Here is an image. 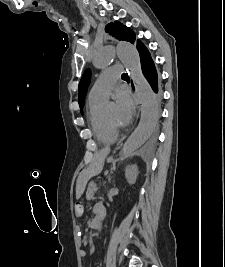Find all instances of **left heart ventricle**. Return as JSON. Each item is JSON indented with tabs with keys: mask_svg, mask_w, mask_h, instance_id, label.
<instances>
[{
	"mask_svg": "<svg viewBox=\"0 0 225 267\" xmlns=\"http://www.w3.org/2000/svg\"><path fill=\"white\" fill-rule=\"evenodd\" d=\"M105 118L111 122L114 125H117L116 123V111L115 109H111L109 110L106 114H105Z\"/></svg>",
	"mask_w": 225,
	"mask_h": 267,
	"instance_id": "b2bd125f",
	"label": "left heart ventricle"
}]
</instances>
